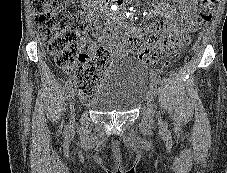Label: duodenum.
Returning <instances> with one entry per match:
<instances>
[{"label": "duodenum", "instance_id": "1", "mask_svg": "<svg viewBox=\"0 0 227 173\" xmlns=\"http://www.w3.org/2000/svg\"><path fill=\"white\" fill-rule=\"evenodd\" d=\"M108 6L119 5L123 0H103Z\"/></svg>", "mask_w": 227, "mask_h": 173}]
</instances>
